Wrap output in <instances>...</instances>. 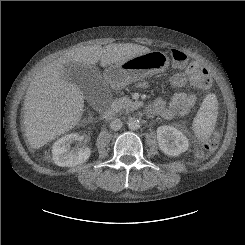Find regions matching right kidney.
<instances>
[{"label":"right kidney","instance_id":"ca27d5eb","mask_svg":"<svg viewBox=\"0 0 245 245\" xmlns=\"http://www.w3.org/2000/svg\"><path fill=\"white\" fill-rule=\"evenodd\" d=\"M80 136L77 133L65 135L58 139L52 147V159L54 163L61 167H73L86 162L91 150L88 147L73 148L71 144L79 140Z\"/></svg>","mask_w":245,"mask_h":245}]
</instances>
